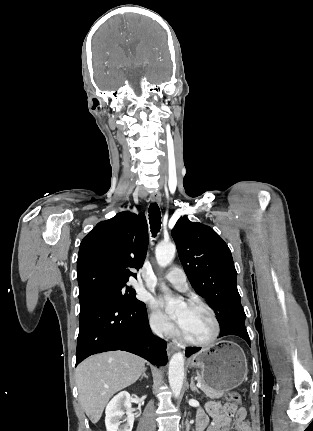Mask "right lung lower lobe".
<instances>
[{
	"mask_svg": "<svg viewBox=\"0 0 313 431\" xmlns=\"http://www.w3.org/2000/svg\"><path fill=\"white\" fill-rule=\"evenodd\" d=\"M112 350L134 353L157 366L168 360L166 342L151 333L145 304L129 306L100 295L81 299L76 365Z\"/></svg>",
	"mask_w": 313,
	"mask_h": 431,
	"instance_id": "1",
	"label": "right lung lower lobe"
}]
</instances>
